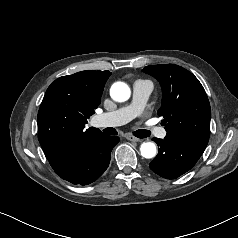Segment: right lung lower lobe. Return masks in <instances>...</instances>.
<instances>
[{
	"instance_id": "right-lung-lower-lobe-1",
	"label": "right lung lower lobe",
	"mask_w": 238,
	"mask_h": 238,
	"mask_svg": "<svg viewBox=\"0 0 238 238\" xmlns=\"http://www.w3.org/2000/svg\"><path fill=\"white\" fill-rule=\"evenodd\" d=\"M119 137L95 132L76 140L60 157L49 163L57 175L72 184L87 185L107 169L112 148Z\"/></svg>"
}]
</instances>
